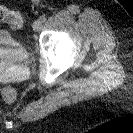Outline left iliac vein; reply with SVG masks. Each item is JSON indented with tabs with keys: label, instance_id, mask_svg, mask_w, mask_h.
I'll return each mask as SVG.
<instances>
[{
	"label": "left iliac vein",
	"instance_id": "obj_1",
	"mask_svg": "<svg viewBox=\"0 0 133 133\" xmlns=\"http://www.w3.org/2000/svg\"><path fill=\"white\" fill-rule=\"evenodd\" d=\"M42 23H43V22H42L40 19H37V20L33 23V29H34L35 31L40 30L41 27H42Z\"/></svg>",
	"mask_w": 133,
	"mask_h": 133
}]
</instances>
